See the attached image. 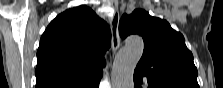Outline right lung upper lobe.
Here are the masks:
<instances>
[{
  "mask_svg": "<svg viewBox=\"0 0 223 88\" xmlns=\"http://www.w3.org/2000/svg\"><path fill=\"white\" fill-rule=\"evenodd\" d=\"M110 40L109 27L90 8L61 13L41 37L36 88H91L102 77Z\"/></svg>",
  "mask_w": 223,
  "mask_h": 88,
  "instance_id": "cb5924a9",
  "label": "right lung upper lobe"
}]
</instances>
